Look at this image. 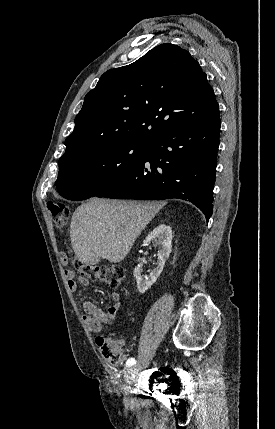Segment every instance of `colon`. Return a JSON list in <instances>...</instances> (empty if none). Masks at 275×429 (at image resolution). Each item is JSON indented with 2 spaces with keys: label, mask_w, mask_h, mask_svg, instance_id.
Wrapping results in <instances>:
<instances>
[{
  "label": "colon",
  "mask_w": 275,
  "mask_h": 429,
  "mask_svg": "<svg viewBox=\"0 0 275 429\" xmlns=\"http://www.w3.org/2000/svg\"><path fill=\"white\" fill-rule=\"evenodd\" d=\"M48 209L57 228L62 229L68 225L70 211L65 204L57 201H49ZM60 259L63 264L68 262V258L64 253L60 254ZM73 264L81 278L99 281L112 288L120 287L125 277L124 268L118 264L90 265L84 264L80 260H74ZM96 344L103 360L107 364L114 367L121 365L124 353L120 339L109 336H98Z\"/></svg>",
  "instance_id": "obj_1"
}]
</instances>
